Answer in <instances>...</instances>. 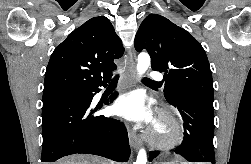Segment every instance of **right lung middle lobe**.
<instances>
[{
  "mask_svg": "<svg viewBox=\"0 0 251 164\" xmlns=\"http://www.w3.org/2000/svg\"><path fill=\"white\" fill-rule=\"evenodd\" d=\"M80 91H81L80 89H75V88H62V89L51 90L43 93V101L55 97H66L69 95L75 96Z\"/></svg>",
  "mask_w": 251,
  "mask_h": 164,
  "instance_id": "obj_1",
  "label": "right lung middle lobe"
}]
</instances>
